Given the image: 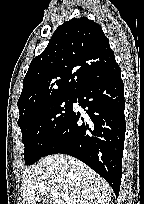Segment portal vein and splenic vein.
Instances as JSON below:
<instances>
[{
    "mask_svg": "<svg viewBox=\"0 0 144 204\" xmlns=\"http://www.w3.org/2000/svg\"><path fill=\"white\" fill-rule=\"evenodd\" d=\"M51 195H52V196H56V195H58V192L55 191V190H53V191H51Z\"/></svg>",
    "mask_w": 144,
    "mask_h": 204,
    "instance_id": "portal-vein-and-splenic-vein-1",
    "label": "portal vein and splenic vein"
}]
</instances>
